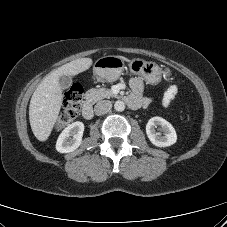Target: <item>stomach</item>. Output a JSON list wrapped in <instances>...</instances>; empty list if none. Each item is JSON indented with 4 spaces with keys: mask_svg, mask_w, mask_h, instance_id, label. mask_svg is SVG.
<instances>
[{
    "mask_svg": "<svg viewBox=\"0 0 227 227\" xmlns=\"http://www.w3.org/2000/svg\"><path fill=\"white\" fill-rule=\"evenodd\" d=\"M124 68V60L120 56L109 55L99 58L93 71L97 79L111 82L122 74ZM129 68L133 74L141 75L150 84L155 85L161 80V70L154 62L136 58L130 61Z\"/></svg>",
    "mask_w": 227,
    "mask_h": 227,
    "instance_id": "obj_1",
    "label": "stomach"
}]
</instances>
